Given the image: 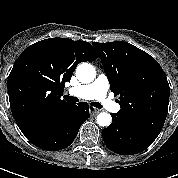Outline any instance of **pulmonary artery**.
Wrapping results in <instances>:
<instances>
[{
	"label": "pulmonary artery",
	"mask_w": 178,
	"mask_h": 178,
	"mask_svg": "<svg viewBox=\"0 0 178 178\" xmlns=\"http://www.w3.org/2000/svg\"><path fill=\"white\" fill-rule=\"evenodd\" d=\"M108 90V78L105 74H100L90 84L69 88L68 94L85 100L97 99L107 110L111 112H118L120 106L107 96Z\"/></svg>",
	"instance_id": "1"
}]
</instances>
